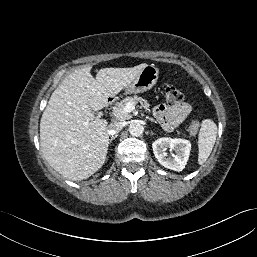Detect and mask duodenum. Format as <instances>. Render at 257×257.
I'll use <instances>...</instances> for the list:
<instances>
[{
    "label": "duodenum",
    "instance_id": "obj_1",
    "mask_svg": "<svg viewBox=\"0 0 257 257\" xmlns=\"http://www.w3.org/2000/svg\"><path fill=\"white\" fill-rule=\"evenodd\" d=\"M110 105H111V100L108 99V100H107V109L109 108Z\"/></svg>",
    "mask_w": 257,
    "mask_h": 257
}]
</instances>
